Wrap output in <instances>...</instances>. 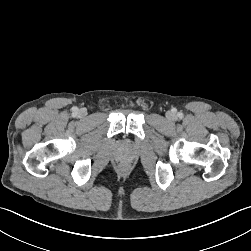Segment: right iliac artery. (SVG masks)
<instances>
[{"instance_id":"82829eb1","label":"right iliac artery","mask_w":251,"mask_h":251,"mask_svg":"<svg viewBox=\"0 0 251 251\" xmlns=\"http://www.w3.org/2000/svg\"><path fill=\"white\" fill-rule=\"evenodd\" d=\"M74 113H77V108L74 109Z\"/></svg>"}]
</instances>
